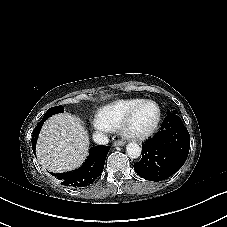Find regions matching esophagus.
Returning a JSON list of instances; mask_svg holds the SVG:
<instances>
[{"label": "esophagus", "instance_id": "34e87169", "mask_svg": "<svg viewBox=\"0 0 227 227\" xmlns=\"http://www.w3.org/2000/svg\"><path fill=\"white\" fill-rule=\"evenodd\" d=\"M125 141L123 140H116L113 142V146H124L125 145Z\"/></svg>", "mask_w": 227, "mask_h": 227}]
</instances>
